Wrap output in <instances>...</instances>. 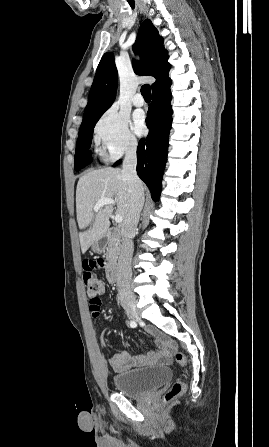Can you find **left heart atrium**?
<instances>
[{
    "mask_svg": "<svg viewBox=\"0 0 269 447\" xmlns=\"http://www.w3.org/2000/svg\"><path fill=\"white\" fill-rule=\"evenodd\" d=\"M133 128L138 135L147 132V118L143 111H136L133 116Z\"/></svg>",
    "mask_w": 269,
    "mask_h": 447,
    "instance_id": "39dd6f15",
    "label": "left heart atrium"
}]
</instances>
